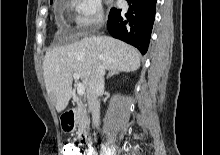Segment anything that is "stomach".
I'll use <instances>...</instances> for the list:
<instances>
[{"mask_svg": "<svg viewBox=\"0 0 220 155\" xmlns=\"http://www.w3.org/2000/svg\"><path fill=\"white\" fill-rule=\"evenodd\" d=\"M62 129L67 132H71L74 129L72 124H62Z\"/></svg>", "mask_w": 220, "mask_h": 155, "instance_id": "obj_1", "label": "stomach"}]
</instances>
